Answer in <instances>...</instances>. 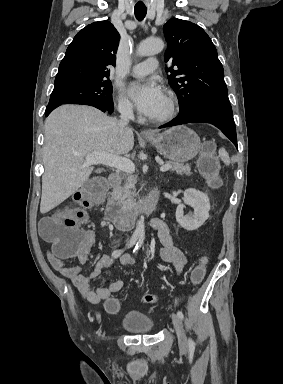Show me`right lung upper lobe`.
Masks as SVG:
<instances>
[{
  "label": "right lung upper lobe",
  "mask_w": 283,
  "mask_h": 384,
  "mask_svg": "<svg viewBox=\"0 0 283 384\" xmlns=\"http://www.w3.org/2000/svg\"><path fill=\"white\" fill-rule=\"evenodd\" d=\"M119 39V33L108 21L94 22L83 28L66 50L54 87L108 78V66H115Z\"/></svg>",
  "instance_id": "right-lung-upper-lobe-1"
}]
</instances>
